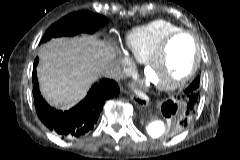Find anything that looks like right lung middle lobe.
I'll use <instances>...</instances> for the list:
<instances>
[{
  "mask_svg": "<svg viewBox=\"0 0 240 160\" xmlns=\"http://www.w3.org/2000/svg\"><path fill=\"white\" fill-rule=\"evenodd\" d=\"M107 22L104 16L98 14L86 11L72 13L51 25L42 40L46 42L51 38L73 36L80 32L92 34Z\"/></svg>",
  "mask_w": 240,
  "mask_h": 160,
  "instance_id": "obj_1",
  "label": "right lung middle lobe"
}]
</instances>
